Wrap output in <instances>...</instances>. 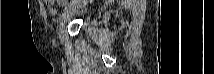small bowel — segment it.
<instances>
[{
	"instance_id": "c3829d8e",
	"label": "small bowel",
	"mask_w": 214,
	"mask_h": 74,
	"mask_svg": "<svg viewBox=\"0 0 214 74\" xmlns=\"http://www.w3.org/2000/svg\"><path fill=\"white\" fill-rule=\"evenodd\" d=\"M50 11H51L52 13H56V7H51V8H50Z\"/></svg>"
}]
</instances>
